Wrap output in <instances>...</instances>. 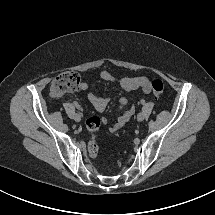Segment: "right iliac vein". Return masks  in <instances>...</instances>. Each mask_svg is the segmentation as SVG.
Here are the masks:
<instances>
[{
    "label": "right iliac vein",
    "instance_id": "right-iliac-vein-1",
    "mask_svg": "<svg viewBox=\"0 0 215 215\" xmlns=\"http://www.w3.org/2000/svg\"><path fill=\"white\" fill-rule=\"evenodd\" d=\"M74 120H75L76 122H80V121H81V115H80V114H76V115L74 116Z\"/></svg>",
    "mask_w": 215,
    "mask_h": 215
}]
</instances>
